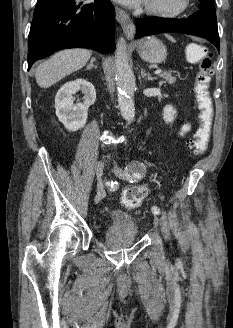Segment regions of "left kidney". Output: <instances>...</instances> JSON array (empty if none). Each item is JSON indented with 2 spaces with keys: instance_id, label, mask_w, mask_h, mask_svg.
Wrapping results in <instances>:
<instances>
[{
  "instance_id": "obj_1",
  "label": "left kidney",
  "mask_w": 233,
  "mask_h": 328,
  "mask_svg": "<svg viewBox=\"0 0 233 328\" xmlns=\"http://www.w3.org/2000/svg\"><path fill=\"white\" fill-rule=\"evenodd\" d=\"M176 116V110L172 105H166L163 109V119L166 123H172Z\"/></svg>"
}]
</instances>
